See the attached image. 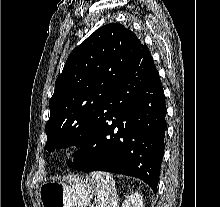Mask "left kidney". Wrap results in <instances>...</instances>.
Wrapping results in <instances>:
<instances>
[{
  "label": "left kidney",
  "mask_w": 220,
  "mask_h": 207,
  "mask_svg": "<svg viewBox=\"0 0 220 207\" xmlns=\"http://www.w3.org/2000/svg\"><path fill=\"white\" fill-rule=\"evenodd\" d=\"M121 207H143V197L135 192L126 198Z\"/></svg>",
  "instance_id": "1"
}]
</instances>
